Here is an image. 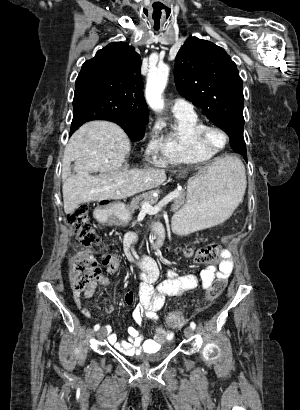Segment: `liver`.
<instances>
[{
  "instance_id": "liver-1",
  "label": "liver",
  "mask_w": 300,
  "mask_h": 410,
  "mask_svg": "<svg viewBox=\"0 0 300 410\" xmlns=\"http://www.w3.org/2000/svg\"><path fill=\"white\" fill-rule=\"evenodd\" d=\"M131 149L130 140L116 124L91 121L70 138L63 157V201L66 214L91 201L118 200L153 189L166 180L163 169H122ZM228 157L209 167H223ZM74 161L75 174L69 175ZM91 172H99L97 176Z\"/></svg>"
}]
</instances>
